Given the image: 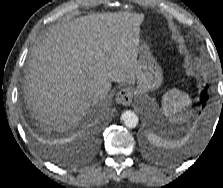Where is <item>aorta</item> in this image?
Wrapping results in <instances>:
<instances>
[{"label":"aorta","mask_w":223,"mask_h":188,"mask_svg":"<svg viewBox=\"0 0 223 188\" xmlns=\"http://www.w3.org/2000/svg\"><path fill=\"white\" fill-rule=\"evenodd\" d=\"M121 120L128 128H135L138 124V116L130 110L122 113Z\"/></svg>","instance_id":"1"}]
</instances>
